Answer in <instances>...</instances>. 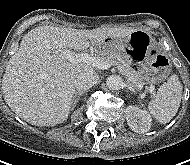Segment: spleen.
Listing matches in <instances>:
<instances>
[{
    "label": "spleen",
    "instance_id": "3e777b00",
    "mask_svg": "<svg viewBox=\"0 0 190 165\" xmlns=\"http://www.w3.org/2000/svg\"><path fill=\"white\" fill-rule=\"evenodd\" d=\"M182 96V86L177 75L163 83L156 97L149 102L151 115L161 124L168 123L177 113Z\"/></svg>",
    "mask_w": 190,
    "mask_h": 165
}]
</instances>
